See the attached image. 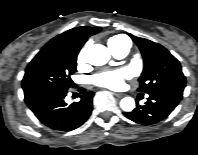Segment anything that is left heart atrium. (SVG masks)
I'll use <instances>...</instances> for the list:
<instances>
[{
    "label": "left heart atrium",
    "mask_w": 198,
    "mask_h": 155,
    "mask_svg": "<svg viewBox=\"0 0 198 155\" xmlns=\"http://www.w3.org/2000/svg\"><path fill=\"white\" fill-rule=\"evenodd\" d=\"M125 70L105 71L92 77V82L100 87L109 89H120L124 85Z\"/></svg>",
    "instance_id": "39dd6f15"
}]
</instances>
